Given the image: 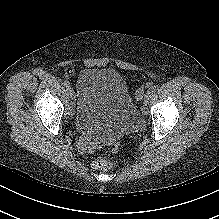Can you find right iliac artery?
Masks as SVG:
<instances>
[{"mask_svg": "<svg viewBox=\"0 0 219 219\" xmlns=\"http://www.w3.org/2000/svg\"><path fill=\"white\" fill-rule=\"evenodd\" d=\"M63 85L66 86L67 88L70 87V83L68 81H63Z\"/></svg>", "mask_w": 219, "mask_h": 219, "instance_id": "82829eb1", "label": "right iliac artery"}]
</instances>
